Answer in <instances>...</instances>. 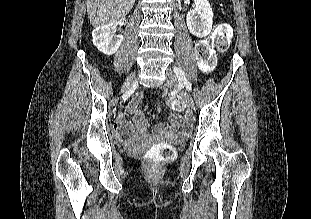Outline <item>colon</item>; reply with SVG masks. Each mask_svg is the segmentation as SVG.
Returning a JSON list of instances; mask_svg holds the SVG:
<instances>
[{
  "label": "colon",
  "mask_w": 311,
  "mask_h": 219,
  "mask_svg": "<svg viewBox=\"0 0 311 219\" xmlns=\"http://www.w3.org/2000/svg\"><path fill=\"white\" fill-rule=\"evenodd\" d=\"M233 37L232 29L228 23H220L216 26L211 36L199 42L196 46V58L202 66L211 67L214 64L215 56L212 53V47L219 52H225L231 43ZM167 103L176 109L179 107L177 100L168 98ZM173 115V114H170ZM120 132H124L123 127L119 128ZM174 155L173 147L168 143H157L152 145L146 152V159L149 163L151 171H156L167 160Z\"/></svg>",
  "instance_id": "5ec220e1"
}]
</instances>
